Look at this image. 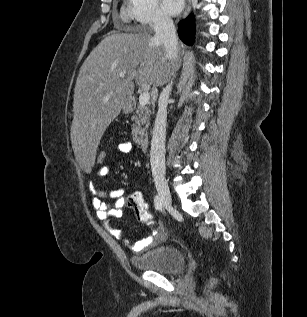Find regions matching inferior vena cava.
<instances>
[{"label":"inferior vena cava","mask_w":307,"mask_h":317,"mask_svg":"<svg viewBox=\"0 0 307 317\" xmlns=\"http://www.w3.org/2000/svg\"><path fill=\"white\" fill-rule=\"evenodd\" d=\"M153 29L155 31L154 40L163 45L166 58L169 61H175L178 57V41L173 20L165 14H160L154 22ZM171 88L172 81L160 94L158 112L152 133L150 163L152 175L155 178L164 177L165 175L167 105Z\"/></svg>","instance_id":"obj_1"}]
</instances>
